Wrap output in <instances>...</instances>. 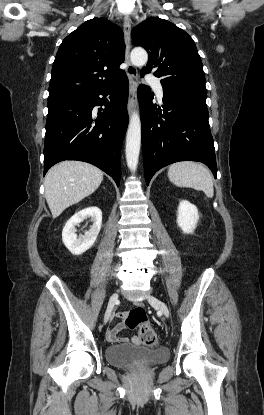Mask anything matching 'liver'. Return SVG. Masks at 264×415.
<instances>
[{
  "label": "liver",
  "mask_w": 264,
  "mask_h": 415,
  "mask_svg": "<svg viewBox=\"0 0 264 415\" xmlns=\"http://www.w3.org/2000/svg\"><path fill=\"white\" fill-rule=\"evenodd\" d=\"M103 172L81 161H62L45 176V197L53 218L83 200L100 186Z\"/></svg>",
  "instance_id": "1"
}]
</instances>
